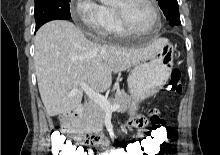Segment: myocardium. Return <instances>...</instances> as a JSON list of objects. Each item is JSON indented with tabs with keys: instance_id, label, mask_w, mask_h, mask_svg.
<instances>
[{
	"instance_id": "myocardium-1",
	"label": "myocardium",
	"mask_w": 220,
	"mask_h": 155,
	"mask_svg": "<svg viewBox=\"0 0 220 155\" xmlns=\"http://www.w3.org/2000/svg\"><path fill=\"white\" fill-rule=\"evenodd\" d=\"M128 1L129 0H123V2H128ZM145 2L149 5L151 9L152 19H153L150 27L145 30H138L131 26V24L129 23V21L125 16L124 9L122 6L114 7L115 13L118 17L121 26L128 34L144 35V34H149L158 28L160 24V14L157 5L155 3V0H145Z\"/></svg>"
}]
</instances>
